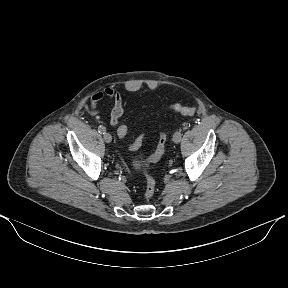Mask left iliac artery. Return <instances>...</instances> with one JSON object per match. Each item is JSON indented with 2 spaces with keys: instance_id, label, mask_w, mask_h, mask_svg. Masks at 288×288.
Returning a JSON list of instances; mask_svg holds the SVG:
<instances>
[{
  "instance_id": "44dca946",
  "label": "left iliac artery",
  "mask_w": 288,
  "mask_h": 288,
  "mask_svg": "<svg viewBox=\"0 0 288 288\" xmlns=\"http://www.w3.org/2000/svg\"><path fill=\"white\" fill-rule=\"evenodd\" d=\"M177 134L179 136H182L184 134V128L183 127H180L179 130L177 131Z\"/></svg>"
}]
</instances>
